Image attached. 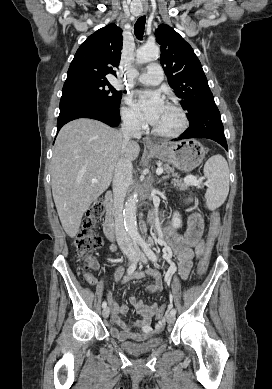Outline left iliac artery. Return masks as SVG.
I'll return each instance as SVG.
<instances>
[{"label": "left iliac artery", "mask_w": 272, "mask_h": 389, "mask_svg": "<svg viewBox=\"0 0 272 389\" xmlns=\"http://www.w3.org/2000/svg\"><path fill=\"white\" fill-rule=\"evenodd\" d=\"M138 243L140 244V246L142 247V249L144 250V252L146 253V255L148 256V258L153 261V262H156L157 261V256L156 254L150 249L148 243L143 240V239H139L138 240ZM169 308H171V305L169 306ZM171 314L175 315L176 314V310L175 309H172L170 311Z\"/></svg>", "instance_id": "left-iliac-artery-1"}]
</instances>
